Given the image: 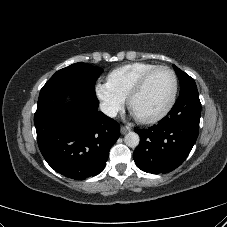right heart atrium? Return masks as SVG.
<instances>
[{"instance_id":"right-heart-atrium-1","label":"right heart atrium","mask_w":227,"mask_h":227,"mask_svg":"<svg viewBox=\"0 0 227 227\" xmlns=\"http://www.w3.org/2000/svg\"><path fill=\"white\" fill-rule=\"evenodd\" d=\"M95 93L101 102L103 111L114 116L124 105L125 99L119 96L108 83L98 82Z\"/></svg>"}]
</instances>
